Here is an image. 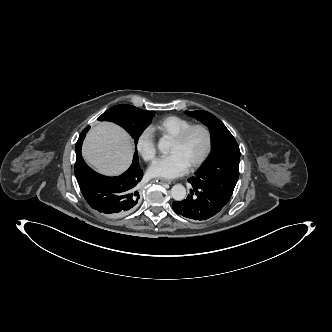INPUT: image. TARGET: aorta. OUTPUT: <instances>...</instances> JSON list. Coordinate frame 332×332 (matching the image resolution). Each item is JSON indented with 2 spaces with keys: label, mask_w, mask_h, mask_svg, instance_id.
I'll return each instance as SVG.
<instances>
[{
  "label": "aorta",
  "mask_w": 332,
  "mask_h": 332,
  "mask_svg": "<svg viewBox=\"0 0 332 332\" xmlns=\"http://www.w3.org/2000/svg\"><path fill=\"white\" fill-rule=\"evenodd\" d=\"M167 148V142L160 140L158 143V149L164 152ZM171 196L175 201H182L186 198V189L181 184H176L171 188Z\"/></svg>",
  "instance_id": "762f6f07"
}]
</instances>
